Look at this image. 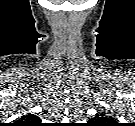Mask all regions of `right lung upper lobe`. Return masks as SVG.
<instances>
[{"mask_svg":"<svg viewBox=\"0 0 135 126\" xmlns=\"http://www.w3.org/2000/svg\"><path fill=\"white\" fill-rule=\"evenodd\" d=\"M20 121H26V122H20V123H17V124L31 126V125H36L37 122L40 121V118L37 117L36 115H33V114L29 113L28 115L23 116Z\"/></svg>","mask_w":135,"mask_h":126,"instance_id":"cb5924a9","label":"right lung upper lobe"}]
</instances>
